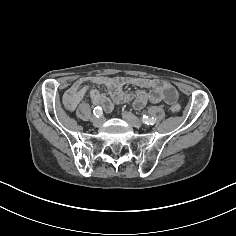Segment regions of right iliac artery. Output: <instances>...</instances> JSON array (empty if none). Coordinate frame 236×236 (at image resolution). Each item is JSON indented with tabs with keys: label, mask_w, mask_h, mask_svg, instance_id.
Masks as SVG:
<instances>
[{
	"label": "right iliac artery",
	"mask_w": 236,
	"mask_h": 236,
	"mask_svg": "<svg viewBox=\"0 0 236 236\" xmlns=\"http://www.w3.org/2000/svg\"><path fill=\"white\" fill-rule=\"evenodd\" d=\"M93 113L96 117L102 116L103 111L101 107H95Z\"/></svg>",
	"instance_id": "obj_1"
}]
</instances>
